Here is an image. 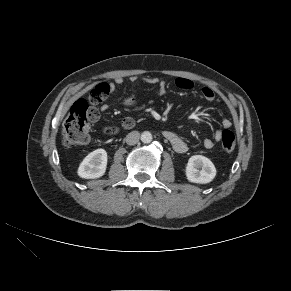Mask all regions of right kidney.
Returning a JSON list of instances; mask_svg holds the SVG:
<instances>
[{
	"label": "right kidney",
	"instance_id": "right-kidney-1",
	"mask_svg": "<svg viewBox=\"0 0 291 291\" xmlns=\"http://www.w3.org/2000/svg\"><path fill=\"white\" fill-rule=\"evenodd\" d=\"M107 166V152L97 149L88 154L78 168V175L84 179H95L104 175Z\"/></svg>",
	"mask_w": 291,
	"mask_h": 291
}]
</instances>
